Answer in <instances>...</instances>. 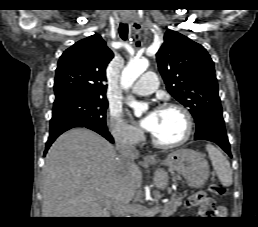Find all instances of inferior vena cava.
I'll list each match as a JSON object with an SVG mask.
<instances>
[{
  "label": "inferior vena cava",
  "instance_id": "1",
  "mask_svg": "<svg viewBox=\"0 0 258 227\" xmlns=\"http://www.w3.org/2000/svg\"><path fill=\"white\" fill-rule=\"evenodd\" d=\"M116 149L120 160L126 164L133 163L139 156V152L134 144L124 135H118L116 137Z\"/></svg>",
  "mask_w": 258,
  "mask_h": 227
}]
</instances>
